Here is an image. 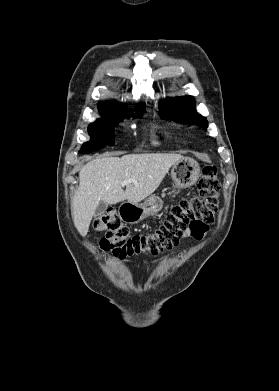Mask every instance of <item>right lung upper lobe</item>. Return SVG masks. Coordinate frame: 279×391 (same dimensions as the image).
Here are the masks:
<instances>
[{"label": "right lung upper lobe", "mask_w": 279, "mask_h": 391, "mask_svg": "<svg viewBox=\"0 0 279 391\" xmlns=\"http://www.w3.org/2000/svg\"><path fill=\"white\" fill-rule=\"evenodd\" d=\"M99 111L101 114H108V113H125V110L123 109L122 104H119L117 102H101L99 103ZM144 109V106L142 104H139L136 107V111Z\"/></svg>", "instance_id": "cb5924a9"}]
</instances>
